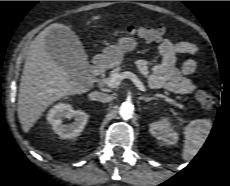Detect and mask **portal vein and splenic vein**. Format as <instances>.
Masks as SVG:
<instances>
[{"mask_svg": "<svg viewBox=\"0 0 230 186\" xmlns=\"http://www.w3.org/2000/svg\"><path fill=\"white\" fill-rule=\"evenodd\" d=\"M126 78L132 80L134 84L138 87L139 90L143 92L146 91V88L143 85V83L137 78L135 74L129 71L113 75L110 79H108L106 84L108 87L115 88L121 83L123 79H126Z\"/></svg>", "mask_w": 230, "mask_h": 186, "instance_id": "1", "label": "portal vein and splenic vein"}]
</instances>
